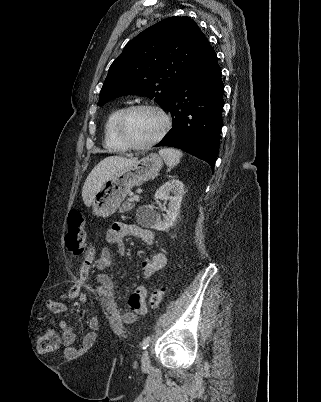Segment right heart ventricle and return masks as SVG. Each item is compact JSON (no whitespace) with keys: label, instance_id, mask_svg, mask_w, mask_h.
Segmentation results:
<instances>
[{"label":"right heart ventricle","instance_id":"right-heart-ventricle-1","mask_svg":"<svg viewBox=\"0 0 321 402\" xmlns=\"http://www.w3.org/2000/svg\"><path fill=\"white\" fill-rule=\"evenodd\" d=\"M122 110V107H118L111 111L104 124V146L114 153H122L127 150L119 140L115 130L116 121Z\"/></svg>","mask_w":321,"mask_h":402}]
</instances>
